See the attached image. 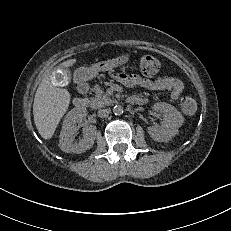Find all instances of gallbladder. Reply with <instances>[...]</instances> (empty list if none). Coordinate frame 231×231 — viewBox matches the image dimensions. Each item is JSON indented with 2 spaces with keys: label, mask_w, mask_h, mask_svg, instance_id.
Returning a JSON list of instances; mask_svg holds the SVG:
<instances>
[{
  "label": "gallbladder",
  "mask_w": 231,
  "mask_h": 231,
  "mask_svg": "<svg viewBox=\"0 0 231 231\" xmlns=\"http://www.w3.org/2000/svg\"><path fill=\"white\" fill-rule=\"evenodd\" d=\"M50 81L58 87H65L71 81V72L66 67L55 66L50 71Z\"/></svg>",
  "instance_id": "obj_1"
}]
</instances>
